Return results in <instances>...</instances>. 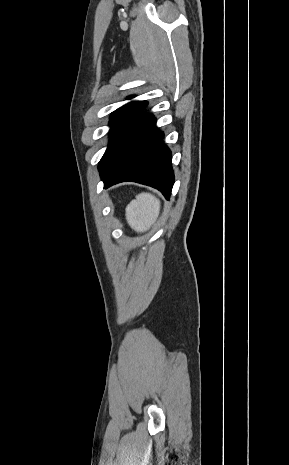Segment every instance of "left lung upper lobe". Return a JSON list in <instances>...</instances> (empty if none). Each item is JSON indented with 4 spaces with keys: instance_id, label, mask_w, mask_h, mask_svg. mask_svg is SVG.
Masks as SVG:
<instances>
[{
    "instance_id": "1",
    "label": "left lung upper lobe",
    "mask_w": 289,
    "mask_h": 465,
    "mask_svg": "<svg viewBox=\"0 0 289 465\" xmlns=\"http://www.w3.org/2000/svg\"><path fill=\"white\" fill-rule=\"evenodd\" d=\"M147 105L148 103L146 101L130 102L111 114L110 143L99 164H101L123 140Z\"/></svg>"
}]
</instances>
